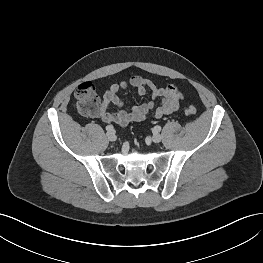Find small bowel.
Wrapping results in <instances>:
<instances>
[{"mask_svg": "<svg viewBox=\"0 0 263 263\" xmlns=\"http://www.w3.org/2000/svg\"><path fill=\"white\" fill-rule=\"evenodd\" d=\"M133 88L139 95L151 92L152 101L124 109L125 102L119 93L127 88ZM183 96L174 85L159 87L154 82L141 76H133L128 81L112 83L106 89L102 99L98 102L97 110L90 116L100 118L106 123L126 126L132 122L145 120L149 115L160 119L178 110ZM160 104L156 106L155 101ZM116 107V111H112Z\"/></svg>", "mask_w": 263, "mask_h": 263, "instance_id": "1", "label": "small bowel"}]
</instances>
